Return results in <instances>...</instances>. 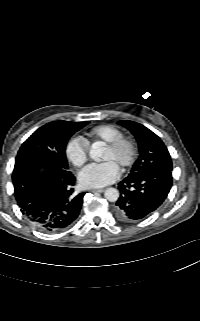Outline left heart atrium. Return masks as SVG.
Wrapping results in <instances>:
<instances>
[{
  "mask_svg": "<svg viewBox=\"0 0 200 321\" xmlns=\"http://www.w3.org/2000/svg\"><path fill=\"white\" fill-rule=\"evenodd\" d=\"M119 177L118 166L110 160L91 163L79 173V181L87 188H98L113 183Z\"/></svg>",
  "mask_w": 200,
  "mask_h": 321,
  "instance_id": "39dd6f15",
  "label": "left heart atrium"
}]
</instances>
